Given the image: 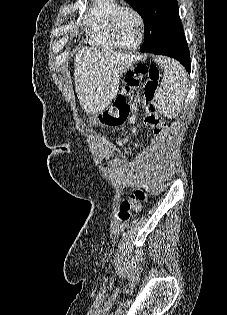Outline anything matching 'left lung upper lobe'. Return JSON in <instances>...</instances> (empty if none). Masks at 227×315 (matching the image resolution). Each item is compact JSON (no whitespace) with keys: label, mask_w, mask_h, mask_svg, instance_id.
Masks as SVG:
<instances>
[{"label":"left lung upper lobe","mask_w":227,"mask_h":315,"mask_svg":"<svg viewBox=\"0 0 227 315\" xmlns=\"http://www.w3.org/2000/svg\"><path fill=\"white\" fill-rule=\"evenodd\" d=\"M143 18V45L160 47L184 37L177 0H126Z\"/></svg>","instance_id":"1"}]
</instances>
